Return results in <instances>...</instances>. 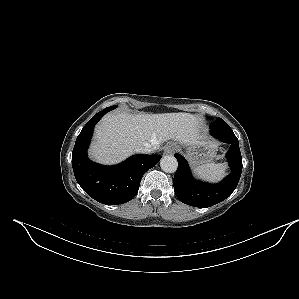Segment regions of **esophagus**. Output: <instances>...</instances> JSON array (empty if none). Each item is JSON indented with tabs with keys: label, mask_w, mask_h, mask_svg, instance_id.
<instances>
[{
	"label": "esophagus",
	"mask_w": 299,
	"mask_h": 299,
	"mask_svg": "<svg viewBox=\"0 0 299 299\" xmlns=\"http://www.w3.org/2000/svg\"><path fill=\"white\" fill-rule=\"evenodd\" d=\"M176 149V146L173 143H169L164 148V154H172Z\"/></svg>",
	"instance_id": "1"
}]
</instances>
